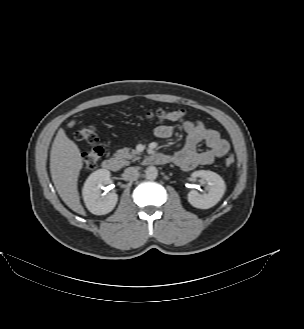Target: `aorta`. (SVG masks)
Wrapping results in <instances>:
<instances>
[{"label": "aorta", "mask_w": 304, "mask_h": 329, "mask_svg": "<svg viewBox=\"0 0 304 329\" xmlns=\"http://www.w3.org/2000/svg\"><path fill=\"white\" fill-rule=\"evenodd\" d=\"M145 173H146V177H147L148 179H150V180H154V179H156L157 176H158V170H157V168L154 167V166H149V167L146 169Z\"/></svg>", "instance_id": "obj_1"}]
</instances>
